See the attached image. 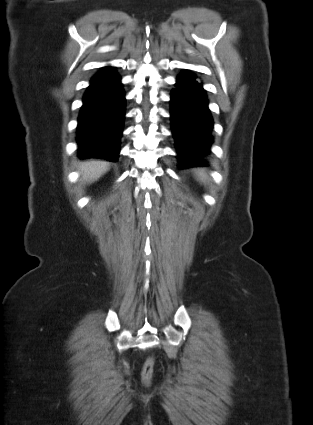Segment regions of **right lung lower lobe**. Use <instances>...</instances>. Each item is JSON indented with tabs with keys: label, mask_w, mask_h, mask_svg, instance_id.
<instances>
[{
	"label": "right lung lower lobe",
	"mask_w": 313,
	"mask_h": 425,
	"mask_svg": "<svg viewBox=\"0 0 313 425\" xmlns=\"http://www.w3.org/2000/svg\"><path fill=\"white\" fill-rule=\"evenodd\" d=\"M120 80L115 69L109 66L92 77L78 118L80 158L117 161L125 115V93Z\"/></svg>",
	"instance_id": "98d812e1"
}]
</instances>
